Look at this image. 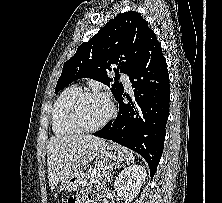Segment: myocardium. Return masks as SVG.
Masks as SVG:
<instances>
[{"mask_svg":"<svg viewBox=\"0 0 222 203\" xmlns=\"http://www.w3.org/2000/svg\"><path fill=\"white\" fill-rule=\"evenodd\" d=\"M88 97H100L103 98L109 105L108 115L99 123L95 125H86L82 122L79 116V106L81 102ZM115 107L112 101L103 93L96 91H86L81 92L76 95L70 102L67 109V118L69 122L79 131L82 132H92L101 129L104 127L114 116H115Z\"/></svg>","mask_w":222,"mask_h":203,"instance_id":"1","label":"myocardium"}]
</instances>
